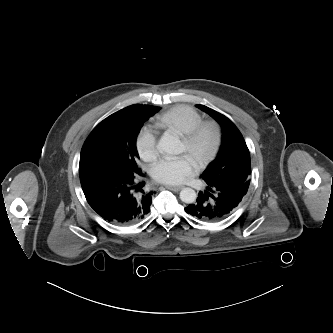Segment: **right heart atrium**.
Returning <instances> with one entry per match:
<instances>
[{"mask_svg":"<svg viewBox=\"0 0 333 333\" xmlns=\"http://www.w3.org/2000/svg\"><path fill=\"white\" fill-rule=\"evenodd\" d=\"M136 149L140 158L146 162L154 161L158 156L157 137L150 129H143L136 139Z\"/></svg>","mask_w":333,"mask_h":333,"instance_id":"right-heart-atrium-1","label":"right heart atrium"}]
</instances>
